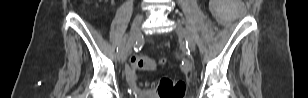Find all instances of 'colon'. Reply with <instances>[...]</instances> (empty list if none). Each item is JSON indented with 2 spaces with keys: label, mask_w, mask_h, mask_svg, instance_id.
Masks as SVG:
<instances>
[{
  "label": "colon",
  "mask_w": 308,
  "mask_h": 98,
  "mask_svg": "<svg viewBox=\"0 0 308 98\" xmlns=\"http://www.w3.org/2000/svg\"><path fill=\"white\" fill-rule=\"evenodd\" d=\"M131 64L136 69L152 70L157 65L163 64V60H154L152 58L138 55L131 57ZM186 84L183 81H172L162 79L157 85V92L160 98H180L185 93Z\"/></svg>",
  "instance_id": "5ec220e1"
}]
</instances>
